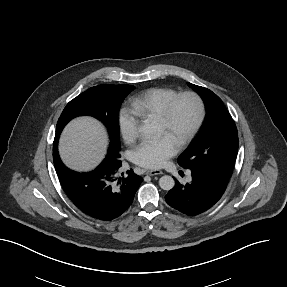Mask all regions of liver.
<instances>
[{"label": "liver", "instance_id": "obj_1", "mask_svg": "<svg viewBox=\"0 0 287 287\" xmlns=\"http://www.w3.org/2000/svg\"><path fill=\"white\" fill-rule=\"evenodd\" d=\"M106 145L103 126L93 118L82 117L73 120L63 132L59 153L69 168L87 171L101 161Z\"/></svg>", "mask_w": 287, "mask_h": 287}]
</instances>
